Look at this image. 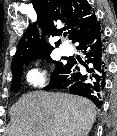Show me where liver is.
<instances>
[{
    "mask_svg": "<svg viewBox=\"0 0 117 136\" xmlns=\"http://www.w3.org/2000/svg\"><path fill=\"white\" fill-rule=\"evenodd\" d=\"M10 115L8 136H87L96 110L83 97L33 91L12 106Z\"/></svg>",
    "mask_w": 117,
    "mask_h": 136,
    "instance_id": "6515ba94",
    "label": "liver"
}]
</instances>
